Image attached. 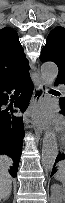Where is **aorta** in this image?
<instances>
[{"label": "aorta", "instance_id": "762f6f07", "mask_svg": "<svg viewBox=\"0 0 65 203\" xmlns=\"http://www.w3.org/2000/svg\"><path fill=\"white\" fill-rule=\"evenodd\" d=\"M58 75V67L53 62H45L41 66V76L45 85H52ZM58 155V143L56 133L53 129H47L42 144L41 163L47 170L51 171L54 167Z\"/></svg>", "mask_w": 65, "mask_h": 203}]
</instances>
